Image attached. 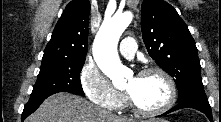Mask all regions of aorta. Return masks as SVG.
Returning a JSON list of instances; mask_svg holds the SVG:
<instances>
[{
    "instance_id": "1",
    "label": "aorta",
    "mask_w": 221,
    "mask_h": 122,
    "mask_svg": "<svg viewBox=\"0 0 221 122\" xmlns=\"http://www.w3.org/2000/svg\"><path fill=\"white\" fill-rule=\"evenodd\" d=\"M132 18L131 12L115 14L103 22L93 42L94 59L115 87L124 86L127 82L128 70L119 59L117 44Z\"/></svg>"
}]
</instances>
